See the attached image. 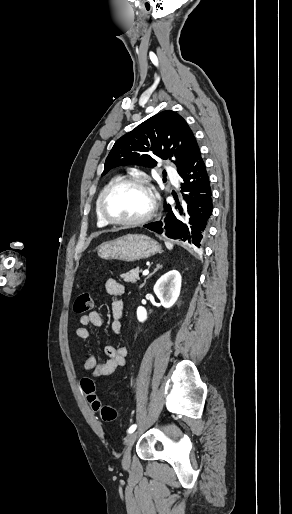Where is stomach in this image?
I'll use <instances>...</instances> for the list:
<instances>
[{"mask_svg":"<svg viewBox=\"0 0 292 514\" xmlns=\"http://www.w3.org/2000/svg\"><path fill=\"white\" fill-rule=\"evenodd\" d=\"M161 246L143 234H127L111 242H103L98 248V256L102 260H123V262H136L145 260L160 252Z\"/></svg>","mask_w":292,"mask_h":514,"instance_id":"obj_1","label":"stomach"}]
</instances>
